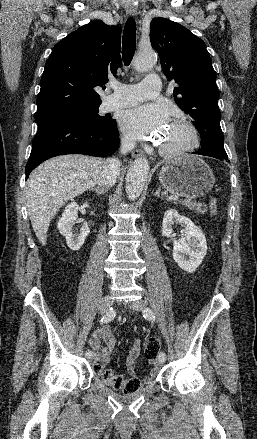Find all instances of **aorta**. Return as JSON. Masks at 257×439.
<instances>
[{"mask_svg": "<svg viewBox=\"0 0 257 439\" xmlns=\"http://www.w3.org/2000/svg\"><path fill=\"white\" fill-rule=\"evenodd\" d=\"M157 62V55L153 50L141 51L134 61V67L138 71H148ZM149 172V163L146 158L140 157L133 161L126 176V193L130 200L137 199L145 186Z\"/></svg>", "mask_w": 257, "mask_h": 439, "instance_id": "762f6f07", "label": "aorta"}]
</instances>
